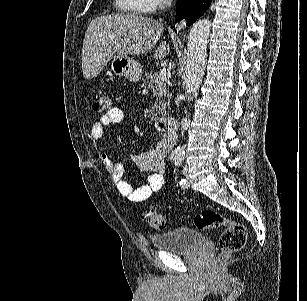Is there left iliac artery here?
<instances>
[{
  "label": "left iliac artery",
  "mask_w": 307,
  "mask_h": 301,
  "mask_svg": "<svg viewBox=\"0 0 307 301\" xmlns=\"http://www.w3.org/2000/svg\"><path fill=\"white\" fill-rule=\"evenodd\" d=\"M182 164V158H178L177 160H175V165L176 166H180ZM180 185L184 188H186V186L188 185L187 181L185 179H182L180 181Z\"/></svg>",
  "instance_id": "1"
}]
</instances>
